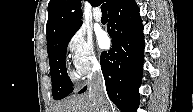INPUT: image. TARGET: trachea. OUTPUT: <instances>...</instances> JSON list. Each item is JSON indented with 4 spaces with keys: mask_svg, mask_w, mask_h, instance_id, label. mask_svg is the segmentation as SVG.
Instances as JSON below:
<instances>
[{
    "mask_svg": "<svg viewBox=\"0 0 193 112\" xmlns=\"http://www.w3.org/2000/svg\"><path fill=\"white\" fill-rule=\"evenodd\" d=\"M101 11H102V14H107V6H106V4H102L101 5Z\"/></svg>",
    "mask_w": 193,
    "mask_h": 112,
    "instance_id": "obj_1",
    "label": "trachea"
}]
</instances>
